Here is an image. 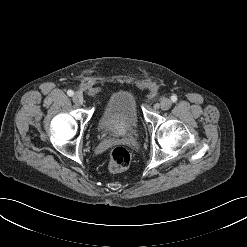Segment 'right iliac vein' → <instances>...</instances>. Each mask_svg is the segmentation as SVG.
<instances>
[{
	"mask_svg": "<svg viewBox=\"0 0 247 247\" xmlns=\"http://www.w3.org/2000/svg\"><path fill=\"white\" fill-rule=\"evenodd\" d=\"M73 101L77 105H82L83 104V96L80 93H75L73 95Z\"/></svg>",
	"mask_w": 247,
	"mask_h": 247,
	"instance_id": "1",
	"label": "right iliac vein"
}]
</instances>
